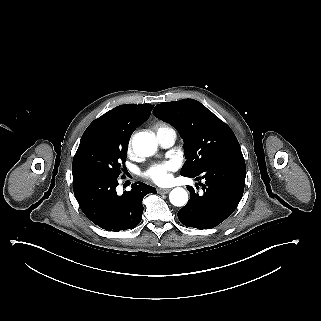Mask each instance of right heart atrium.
<instances>
[{
	"label": "right heart atrium",
	"instance_id": "right-heart-atrium-1",
	"mask_svg": "<svg viewBox=\"0 0 321 321\" xmlns=\"http://www.w3.org/2000/svg\"><path fill=\"white\" fill-rule=\"evenodd\" d=\"M127 152H128V154L133 153L132 136L130 137L128 144H127Z\"/></svg>",
	"mask_w": 321,
	"mask_h": 321
}]
</instances>
